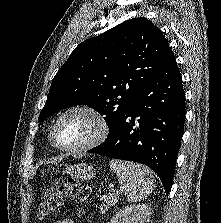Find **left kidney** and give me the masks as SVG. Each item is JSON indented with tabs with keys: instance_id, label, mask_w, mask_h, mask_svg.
Wrapping results in <instances>:
<instances>
[{
	"instance_id": "5707ae66",
	"label": "left kidney",
	"mask_w": 221,
	"mask_h": 223,
	"mask_svg": "<svg viewBox=\"0 0 221 223\" xmlns=\"http://www.w3.org/2000/svg\"><path fill=\"white\" fill-rule=\"evenodd\" d=\"M151 208L147 204L120 209L110 223H149Z\"/></svg>"
}]
</instances>
